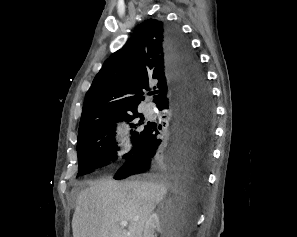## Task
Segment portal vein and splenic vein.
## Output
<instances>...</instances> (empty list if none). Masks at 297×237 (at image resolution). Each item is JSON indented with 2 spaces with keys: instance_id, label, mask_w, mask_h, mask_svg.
Listing matches in <instances>:
<instances>
[{
  "instance_id": "18ae733b",
  "label": "portal vein and splenic vein",
  "mask_w": 297,
  "mask_h": 237,
  "mask_svg": "<svg viewBox=\"0 0 297 237\" xmlns=\"http://www.w3.org/2000/svg\"><path fill=\"white\" fill-rule=\"evenodd\" d=\"M134 220H135V221L138 220V217L135 218ZM127 224H128L127 221H122V222H120V226L123 227V228L126 227Z\"/></svg>"
}]
</instances>
